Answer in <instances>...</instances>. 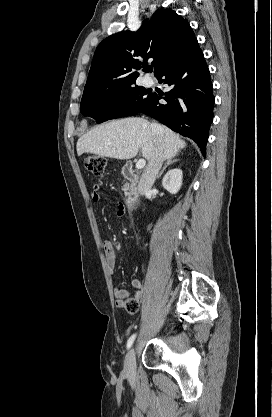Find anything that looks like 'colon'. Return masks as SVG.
<instances>
[{
    "label": "colon",
    "instance_id": "1",
    "mask_svg": "<svg viewBox=\"0 0 272 417\" xmlns=\"http://www.w3.org/2000/svg\"><path fill=\"white\" fill-rule=\"evenodd\" d=\"M86 169L91 172L96 177L102 178L106 174V160L105 158L98 155L87 156L84 160ZM139 301L134 299H129L126 302V310L130 314H135L139 310Z\"/></svg>",
    "mask_w": 272,
    "mask_h": 417
}]
</instances>
